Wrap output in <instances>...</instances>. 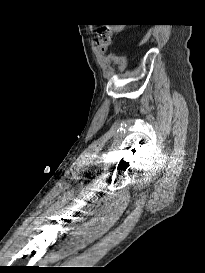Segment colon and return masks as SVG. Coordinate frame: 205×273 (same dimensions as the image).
Returning <instances> with one entry per match:
<instances>
[{
	"label": "colon",
	"instance_id": "obj_1",
	"mask_svg": "<svg viewBox=\"0 0 205 273\" xmlns=\"http://www.w3.org/2000/svg\"><path fill=\"white\" fill-rule=\"evenodd\" d=\"M112 43V33L106 27L98 29L96 45L101 52H105Z\"/></svg>",
	"mask_w": 205,
	"mask_h": 273
}]
</instances>
